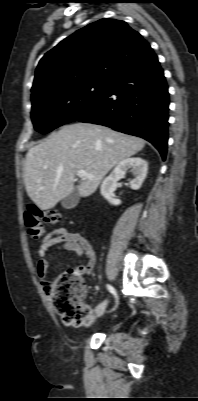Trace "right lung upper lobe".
<instances>
[{"mask_svg":"<svg viewBox=\"0 0 198 401\" xmlns=\"http://www.w3.org/2000/svg\"><path fill=\"white\" fill-rule=\"evenodd\" d=\"M150 49L124 21L101 19L61 41L40 60L31 89L38 96L90 81H109Z\"/></svg>","mask_w":198,"mask_h":401,"instance_id":"1","label":"right lung upper lobe"}]
</instances>
